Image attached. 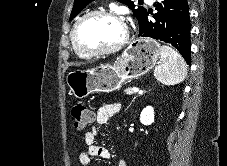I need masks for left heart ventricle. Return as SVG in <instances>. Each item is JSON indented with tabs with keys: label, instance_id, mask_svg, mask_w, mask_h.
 <instances>
[{
	"label": "left heart ventricle",
	"instance_id": "obj_1",
	"mask_svg": "<svg viewBox=\"0 0 227 166\" xmlns=\"http://www.w3.org/2000/svg\"><path fill=\"white\" fill-rule=\"evenodd\" d=\"M124 36L121 22L105 16L92 17L78 29L77 39L87 49L109 48L119 43Z\"/></svg>",
	"mask_w": 227,
	"mask_h": 166
}]
</instances>
